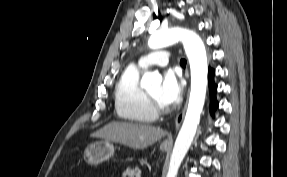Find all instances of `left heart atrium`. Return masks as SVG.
Segmentation results:
<instances>
[{
	"label": "left heart atrium",
	"mask_w": 287,
	"mask_h": 177,
	"mask_svg": "<svg viewBox=\"0 0 287 177\" xmlns=\"http://www.w3.org/2000/svg\"><path fill=\"white\" fill-rule=\"evenodd\" d=\"M182 83L177 79L172 70L164 73L163 81L160 88V98L167 105H173L178 101L182 94Z\"/></svg>",
	"instance_id": "1"
}]
</instances>
